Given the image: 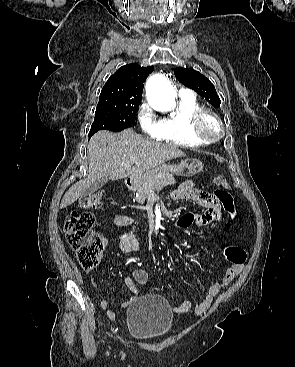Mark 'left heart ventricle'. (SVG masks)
<instances>
[{
    "instance_id": "b2bd125f",
    "label": "left heart ventricle",
    "mask_w": 295,
    "mask_h": 367,
    "mask_svg": "<svg viewBox=\"0 0 295 367\" xmlns=\"http://www.w3.org/2000/svg\"><path fill=\"white\" fill-rule=\"evenodd\" d=\"M205 129L209 134L213 135V134L217 133L218 126H217V124L215 123L214 120L209 118L205 122Z\"/></svg>"
}]
</instances>
